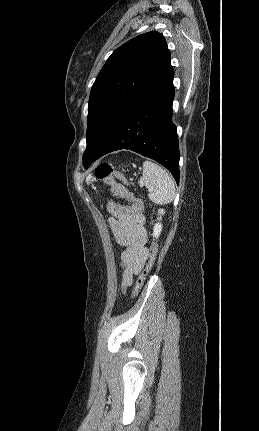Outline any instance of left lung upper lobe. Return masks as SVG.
I'll list each match as a JSON object with an SVG mask.
<instances>
[{
	"instance_id": "obj_1",
	"label": "left lung upper lobe",
	"mask_w": 259,
	"mask_h": 431,
	"mask_svg": "<svg viewBox=\"0 0 259 431\" xmlns=\"http://www.w3.org/2000/svg\"><path fill=\"white\" fill-rule=\"evenodd\" d=\"M170 51L156 31L141 34L117 48L99 72L90 93L87 147L88 168L94 155L121 118L170 71Z\"/></svg>"
}]
</instances>
